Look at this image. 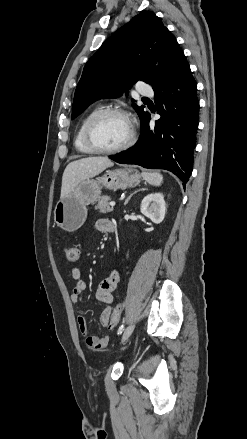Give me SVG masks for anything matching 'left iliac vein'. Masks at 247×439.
<instances>
[{
    "instance_id": "obj_1",
    "label": "left iliac vein",
    "mask_w": 247,
    "mask_h": 439,
    "mask_svg": "<svg viewBox=\"0 0 247 439\" xmlns=\"http://www.w3.org/2000/svg\"><path fill=\"white\" fill-rule=\"evenodd\" d=\"M134 327H135L134 324H131L125 329L121 340L122 343L125 342L130 337V335L134 330Z\"/></svg>"
}]
</instances>
